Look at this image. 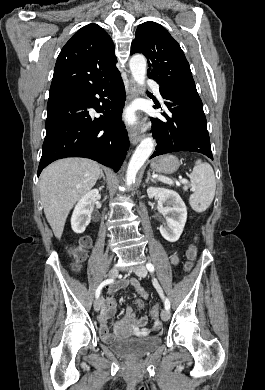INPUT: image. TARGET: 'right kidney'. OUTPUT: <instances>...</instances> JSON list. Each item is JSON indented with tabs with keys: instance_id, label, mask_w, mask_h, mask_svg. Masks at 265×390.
Returning a JSON list of instances; mask_svg holds the SVG:
<instances>
[{
	"instance_id": "1",
	"label": "right kidney",
	"mask_w": 265,
	"mask_h": 390,
	"mask_svg": "<svg viewBox=\"0 0 265 390\" xmlns=\"http://www.w3.org/2000/svg\"><path fill=\"white\" fill-rule=\"evenodd\" d=\"M97 189L86 193L76 204L72 217L71 227L75 233H83L91 221L92 202L98 196Z\"/></svg>"
}]
</instances>
